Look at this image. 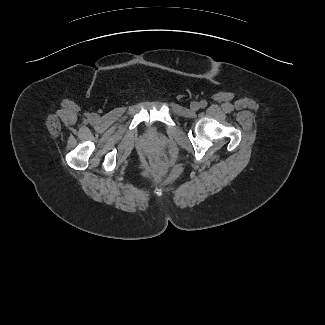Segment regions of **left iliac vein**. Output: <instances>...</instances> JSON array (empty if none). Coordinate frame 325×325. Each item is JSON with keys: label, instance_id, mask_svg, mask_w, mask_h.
I'll list each match as a JSON object with an SVG mask.
<instances>
[{"label": "left iliac vein", "instance_id": "1", "mask_svg": "<svg viewBox=\"0 0 325 325\" xmlns=\"http://www.w3.org/2000/svg\"><path fill=\"white\" fill-rule=\"evenodd\" d=\"M190 107L192 110L196 111L199 109V104L197 102H193V103H191Z\"/></svg>", "mask_w": 325, "mask_h": 325}]
</instances>
